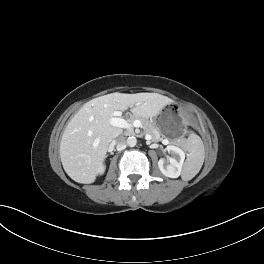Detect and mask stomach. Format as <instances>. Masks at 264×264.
I'll use <instances>...</instances> for the list:
<instances>
[{
    "mask_svg": "<svg viewBox=\"0 0 264 264\" xmlns=\"http://www.w3.org/2000/svg\"><path fill=\"white\" fill-rule=\"evenodd\" d=\"M181 112L182 104L178 100H171L161 109L154 123L162 135L176 138L186 130V119L181 116Z\"/></svg>",
    "mask_w": 264,
    "mask_h": 264,
    "instance_id": "1",
    "label": "stomach"
}]
</instances>
